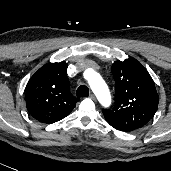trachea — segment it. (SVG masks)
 Wrapping results in <instances>:
<instances>
[{
    "mask_svg": "<svg viewBox=\"0 0 171 171\" xmlns=\"http://www.w3.org/2000/svg\"><path fill=\"white\" fill-rule=\"evenodd\" d=\"M77 97H88L89 96V88L86 85H81L78 87L76 91Z\"/></svg>",
    "mask_w": 171,
    "mask_h": 171,
    "instance_id": "obj_1",
    "label": "trachea"
}]
</instances>
